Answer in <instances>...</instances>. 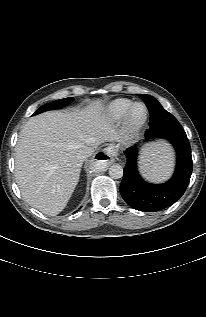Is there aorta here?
<instances>
[{"mask_svg": "<svg viewBox=\"0 0 206 317\" xmlns=\"http://www.w3.org/2000/svg\"><path fill=\"white\" fill-rule=\"evenodd\" d=\"M109 175L113 178V179H120L123 176V168L121 165L119 164H113L112 166H110L109 168Z\"/></svg>", "mask_w": 206, "mask_h": 317, "instance_id": "obj_1", "label": "aorta"}]
</instances>
